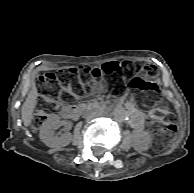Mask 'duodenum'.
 Returning a JSON list of instances; mask_svg holds the SVG:
<instances>
[{
    "label": "duodenum",
    "instance_id": "410a0bca",
    "mask_svg": "<svg viewBox=\"0 0 194 193\" xmlns=\"http://www.w3.org/2000/svg\"><path fill=\"white\" fill-rule=\"evenodd\" d=\"M79 114V108L76 105H68L62 111V115L66 119H74Z\"/></svg>",
    "mask_w": 194,
    "mask_h": 193
}]
</instances>
